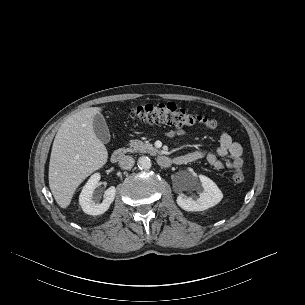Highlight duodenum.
<instances>
[{
    "label": "duodenum",
    "mask_w": 305,
    "mask_h": 305,
    "mask_svg": "<svg viewBox=\"0 0 305 305\" xmlns=\"http://www.w3.org/2000/svg\"><path fill=\"white\" fill-rule=\"evenodd\" d=\"M124 155H125L124 149H122V148L116 149L111 154V161L113 163H118L124 157ZM157 162H158L159 166H161L163 168H168V167L176 164L177 160L175 158H170L165 155H159L157 157Z\"/></svg>",
    "instance_id": "410a0bca"
}]
</instances>
